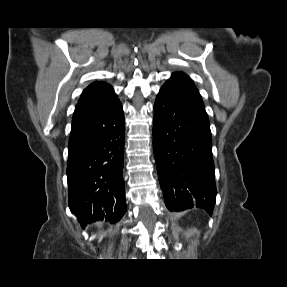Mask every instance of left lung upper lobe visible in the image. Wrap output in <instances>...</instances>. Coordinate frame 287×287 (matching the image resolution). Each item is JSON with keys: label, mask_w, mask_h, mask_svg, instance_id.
Instances as JSON below:
<instances>
[{"label": "left lung upper lobe", "mask_w": 287, "mask_h": 287, "mask_svg": "<svg viewBox=\"0 0 287 287\" xmlns=\"http://www.w3.org/2000/svg\"><path fill=\"white\" fill-rule=\"evenodd\" d=\"M165 84L171 86L187 104L207 116L201 95L189 76L174 72Z\"/></svg>", "instance_id": "1"}]
</instances>
